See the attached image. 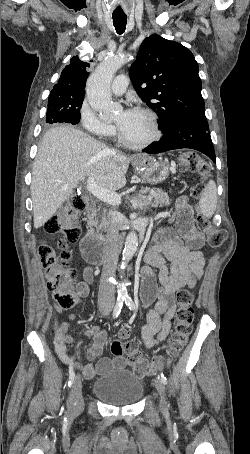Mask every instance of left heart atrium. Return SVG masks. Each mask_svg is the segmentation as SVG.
Wrapping results in <instances>:
<instances>
[{"mask_svg": "<svg viewBox=\"0 0 250 454\" xmlns=\"http://www.w3.org/2000/svg\"><path fill=\"white\" fill-rule=\"evenodd\" d=\"M133 111H134V110H132V109H127V110L125 111V114H126V115H129V114H131Z\"/></svg>", "mask_w": 250, "mask_h": 454, "instance_id": "1", "label": "left heart atrium"}]
</instances>
